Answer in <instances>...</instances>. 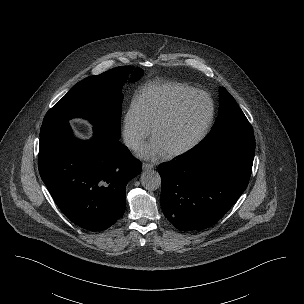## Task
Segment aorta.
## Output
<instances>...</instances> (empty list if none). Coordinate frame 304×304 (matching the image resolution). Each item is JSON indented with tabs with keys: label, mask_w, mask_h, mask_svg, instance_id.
I'll use <instances>...</instances> for the list:
<instances>
[{
	"label": "aorta",
	"mask_w": 304,
	"mask_h": 304,
	"mask_svg": "<svg viewBox=\"0 0 304 304\" xmlns=\"http://www.w3.org/2000/svg\"><path fill=\"white\" fill-rule=\"evenodd\" d=\"M140 181L146 190H156L161 186V177L155 170H146L141 174Z\"/></svg>",
	"instance_id": "762f6f07"
}]
</instances>
